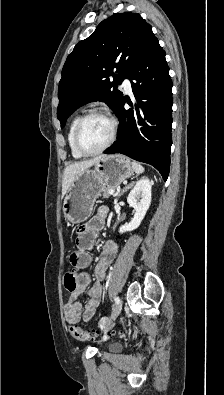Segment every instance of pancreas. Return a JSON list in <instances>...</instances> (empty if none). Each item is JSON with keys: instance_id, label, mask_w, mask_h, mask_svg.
Segmentation results:
<instances>
[{"instance_id": "obj_1", "label": "pancreas", "mask_w": 224, "mask_h": 395, "mask_svg": "<svg viewBox=\"0 0 224 395\" xmlns=\"http://www.w3.org/2000/svg\"><path fill=\"white\" fill-rule=\"evenodd\" d=\"M110 189H111V188H107V189H105V190L103 191V193H102L103 198H109L110 194L108 193V191H109Z\"/></svg>"}]
</instances>
